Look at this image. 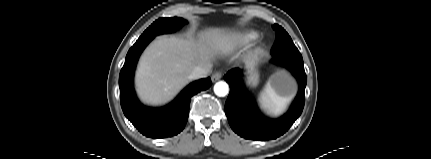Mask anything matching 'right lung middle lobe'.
Masks as SVG:
<instances>
[{
  "instance_id": "dd1d6c3e",
  "label": "right lung middle lobe",
  "mask_w": 431,
  "mask_h": 159,
  "mask_svg": "<svg viewBox=\"0 0 431 159\" xmlns=\"http://www.w3.org/2000/svg\"><path fill=\"white\" fill-rule=\"evenodd\" d=\"M185 23L186 20L178 17L159 18L143 32L139 39L155 37L159 34L174 32Z\"/></svg>"
}]
</instances>
